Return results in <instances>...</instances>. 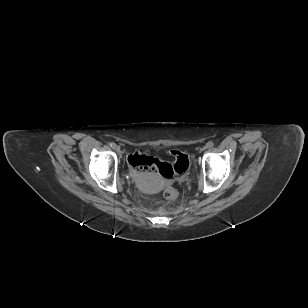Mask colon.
Masks as SVG:
<instances>
[{
	"mask_svg": "<svg viewBox=\"0 0 308 308\" xmlns=\"http://www.w3.org/2000/svg\"><path fill=\"white\" fill-rule=\"evenodd\" d=\"M174 157L172 163L160 162L154 157L148 155L144 151H139L129 157L131 165L140 169H153L157 170L163 177L170 178L175 174H181L188 169L189 159L188 156L181 151H171ZM164 197L169 201H175L178 198V191L173 186H168L164 190Z\"/></svg>",
	"mask_w": 308,
	"mask_h": 308,
	"instance_id": "colon-1",
	"label": "colon"
}]
</instances>
